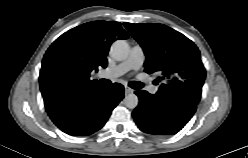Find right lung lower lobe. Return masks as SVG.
Listing matches in <instances>:
<instances>
[{
  "label": "right lung lower lobe",
  "instance_id": "98d812e1",
  "mask_svg": "<svg viewBox=\"0 0 248 158\" xmlns=\"http://www.w3.org/2000/svg\"><path fill=\"white\" fill-rule=\"evenodd\" d=\"M124 97V87L94 86L85 92L45 105L51 120L63 132L86 136L98 131L108 120L112 110Z\"/></svg>",
  "mask_w": 248,
  "mask_h": 158
}]
</instances>
